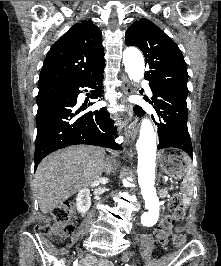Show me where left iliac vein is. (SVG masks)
Segmentation results:
<instances>
[{
	"label": "left iliac vein",
	"mask_w": 221,
	"mask_h": 266,
	"mask_svg": "<svg viewBox=\"0 0 221 266\" xmlns=\"http://www.w3.org/2000/svg\"><path fill=\"white\" fill-rule=\"evenodd\" d=\"M123 257L124 258H132L133 257V253L130 252V251H128V252H126V253L123 254Z\"/></svg>",
	"instance_id": "obj_1"
}]
</instances>
